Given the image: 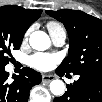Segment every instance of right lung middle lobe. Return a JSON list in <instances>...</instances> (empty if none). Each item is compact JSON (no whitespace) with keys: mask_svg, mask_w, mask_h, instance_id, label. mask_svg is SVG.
I'll return each mask as SVG.
<instances>
[{"mask_svg":"<svg viewBox=\"0 0 102 102\" xmlns=\"http://www.w3.org/2000/svg\"><path fill=\"white\" fill-rule=\"evenodd\" d=\"M24 33L17 31L11 21L0 20V67L9 63L8 55L11 56V49H19Z\"/></svg>","mask_w":102,"mask_h":102,"instance_id":"obj_1","label":"right lung middle lobe"}]
</instances>
